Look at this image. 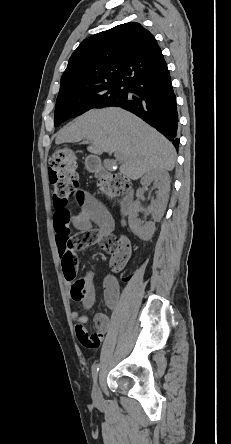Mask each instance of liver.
<instances>
[{"instance_id": "liver-1", "label": "liver", "mask_w": 231, "mask_h": 444, "mask_svg": "<svg viewBox=\"0 0 231 444\" xmlns=\"http://www.w3.org/2000/svg\"><path fill=\"white\" fill-rule=\"evenodd\" d=\"M87 139L94 155L120 153V172L136 180L154 170L171 171L176 151L172 143L134 114L118 107L90 110L56 134V144Z\"/></svg>"}]
</instances>
